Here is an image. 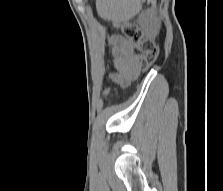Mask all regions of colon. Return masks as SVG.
<instances>
[{"label": "colon", "instance_id": "colon-1", "mask_svg": "<svg viewBox=\"0 0 223 191\" xmlns=\"http://www.w3.org/2000/svg\"><path fill=\"white\" fill-rule=\"evenodd\" d=\"M149 2H154V0H150ZM121 31L134 48L142 55L139 71H146L158 57L159 49L157 45L150 39L145 38L141 29L134 23L122 24Z\"/></svg>", "mask_w": 223, "mask_h": 191}]
</instances>
